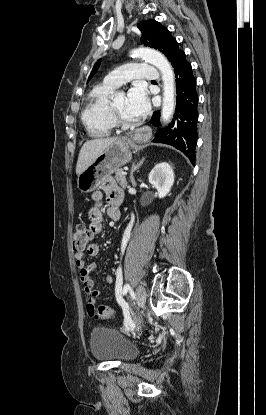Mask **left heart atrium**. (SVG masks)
Instances as JSON below:
<instances>
[{
	"instance_id": "1",
	"label": "left heart atrium",
	"mask_w": 266,
	"mask_h": 415,
	"mask_svg": "<svg viewBox=\"0 0 266 415\" xmlns=\"http://www.w3.org/2000/svg\"><path fill=\"white\" fill-rule=\"evenodd\" d=\"M150 108L146 89L141 84L134 85L127 95V110L136 117L144 116Z\"/></svg>"
}]
</instances>
